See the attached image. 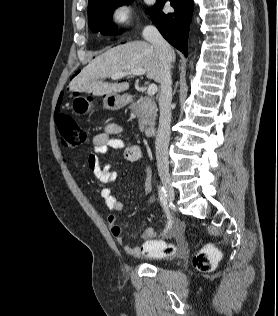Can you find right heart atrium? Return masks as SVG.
<instances>
[{
	"instance_id": "d8ad5b80",
	"label": "right heart atrium",
	"mask_w": 278,
	"mask_h": 316,
	"mask_svg": "<svg viewBox=\"0 0 278 316\" xmlns=\"http://www.w3.org/2000/svg\"><path fill=\"white\" fill-rule=\"evenodd\" d=\"M111 20L122 30L132 29L138 24V15L135 5L131 0L118 1L112 8Z\"/></svg>"
}]
</instances>
